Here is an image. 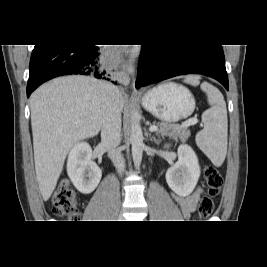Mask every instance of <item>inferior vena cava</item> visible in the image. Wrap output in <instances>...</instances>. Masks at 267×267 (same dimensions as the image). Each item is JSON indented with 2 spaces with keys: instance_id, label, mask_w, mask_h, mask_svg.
Instances as JSON below:
<instances>
[{
  "instance_id": "obj_1",
  "label": "inferior vena cava",
  "mask_w": 267,
  "mask_h": 267,
  "mask_svg": "<svg viewBox=\"0 0 267 267\" xmlns=\"http://www.w3.org/2000/svg\"><path fill=\"white\" fill-rule=\"evenodd\" d=\"M105 99V114L101 127V144L108 151L117 172L122 175L125 168V160L117 147L120 144L121 132V108L119 105L117 87L110 83L104 85Z\"/></svg>"
}]
</instances>
